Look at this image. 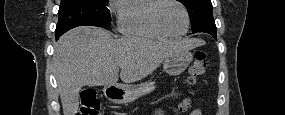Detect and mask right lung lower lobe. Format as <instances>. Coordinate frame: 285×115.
I'll use <instances>...</instances> for the list:
<instances>
[{"label": "right lung lower lobe", "instance_id": "obj_1", "mask_svg": "<svg viewBox=\"0 0 285 115\" xmlns=\"http://www.w3.org/2000/svg\"><path fill=\"white\" fill-rule=\"evenodd\" d=\"M61 35H56V40L60 37Z\"/></svg>", "mask_w": 285, "mask_h": 115}]
</instances>
